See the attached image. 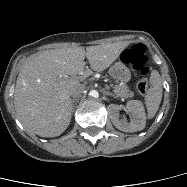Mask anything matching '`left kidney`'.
<instances>
[{
    "label": "left kidney",
    "instance_id": "obj_1",
    "mask_svg": "<svg viewBox=\"0 0 187 187\" xmlns=\"http://www.w3.org/2000/svg\"><path fill=\"white\" fill-rule=\"evenodd\" d=\"M125 109L131 114L132 121L128 123L126 119H120L119 111ZM109 116L113 125L124 132H136L144 129L146 124V116L144 107L141 102L132 100L126 106L111 104L108 106Z\"/></svg>",
    "mask_w": 187,
    "mask_h": 187
}]
</instances>
